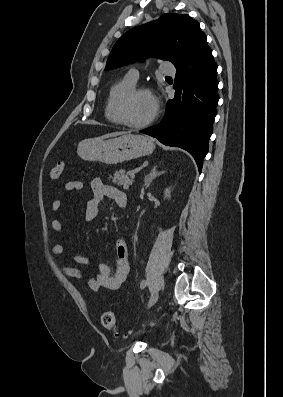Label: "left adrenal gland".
<instances>
[{
    "instance_id": "obj_1",
    "label": "left adrenal gland",
    "mask_w": 283,
    "mask_h": 397,
    "mask_svg": "<svg viewBox=\"0 0 283 397\" xmlns=\"http://www.w3.org/2000/svg\"><path fill=\"white\" fill-rule=\"evenodd\" d=\"M164 174V171L158 172L157 171V166H154V168L151 170V172L145 176L144 178V187L148 188L152 181L157 178L158 176Z\"/></svg>"
}]
</instances>
